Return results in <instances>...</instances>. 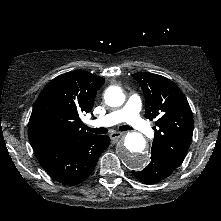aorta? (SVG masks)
Masks as SVG:
<instances>
[{"instance_id":"762f6f07","label":"aorta","mask_w":221,"mask_h":221,"mask_svg":"<svg viewBox=\"0 0 221 221\" xmlns=\"http://www.w3.org/2000/svg\"><path fill=\"white\" fill-rule=\"evenodd\" d=\"M104 98L106 104L111 107H118L125 101L122 90L117 86L109 87L105 91ZM118 157L131 170L144 168L148 162L145 138L137 132L127 133L124 143L119 146Z\"/></svg>"}]
</instances>
